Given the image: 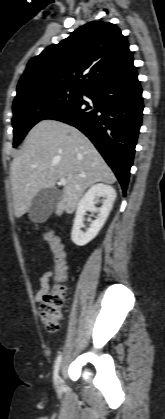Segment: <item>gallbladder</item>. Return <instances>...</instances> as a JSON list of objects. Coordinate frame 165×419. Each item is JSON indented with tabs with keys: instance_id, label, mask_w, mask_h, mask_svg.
Segmentation results:
<instances>
[{
	"instance_id": "obj_1",
	"label": "gallbladder",
	"mask_w": 165,
	"mask_h": 419,
	"mask_svg": "<svg viewBox=\"0 0 165 419\" xmlns=\"http://www.w3.org/2000/svg\"><path fill=\"white\" fill-rule=\"evenodd\" d=\"M62 193L55 188H46L40 190L33 198L30 209L29 218L32 222H45L53 209L60 202Z\"/></svg>"
}]
</instances>
